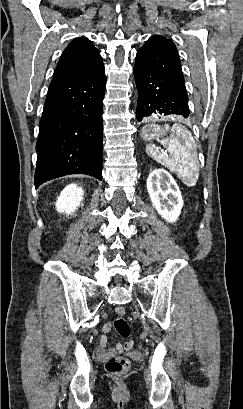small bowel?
I'll return each instance as SVG.
<instances>
[{
	"label": "small bowel",
	"instance_id": "small-bowel-1",
	"mask_svg": "<svg viewBox=\"0 0 243 409\" xmlns=\"http://www.w3.org/2000/svg\"><path fill=\"white\" fill-rule=\"evenodd\" d=\"M112 322H106L102 327V334L100 336V346L103 349V354H116L130 348L128 345L117 344L115 346L107 347L106 334L112 329Z\"/></svg>",
	"mask_w": 243,
	"mask_h": 409
}]
</instances>
